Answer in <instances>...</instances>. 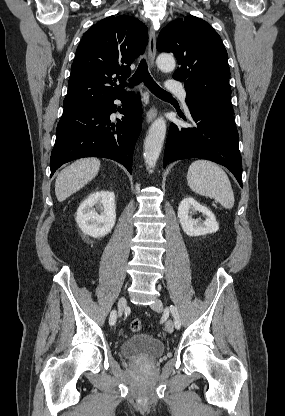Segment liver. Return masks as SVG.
Returning a JSON list of instances; mask_svg holds the SVG:
<instances>
[{
	"label": "liver",
	"mask_w": 285,
	"mask_h": 416,
	"mask_svg": "<svg viewBox=\"0 0 285 416\" xmlns=\"http://www.w3.org/2000/svg\"><path fill=\"white\" fill-rule=\"evenodd\" d=\"M100 166V160L97 158H82L64 168L55 182V196L58 202H64L66 198L84 188L97 176Z\"/></svg>",
	"instance_id": "6515ba94"
}]
</instances>
